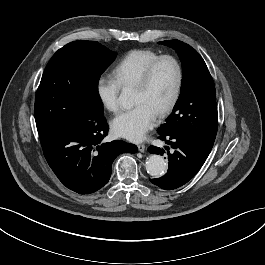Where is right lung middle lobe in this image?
Here are the masks:
<instances>
[{"label":"right lung middle lobe","mask_w":265,"mask_h":265,"mask_svg":"<svg viewBox=\"0 0 265 265\" xmlns=\"http://www.w3.org/2000/svg\"><path fill=\"white\" fill-rule=\"evenodd\" d=\"M115 58V52L96 41H74L54 54L35 99L34 114L40 138L86 116L103 115L98 82Z\"/></svg>","instance_id":"right-lung-middle-lobe-1"}]
</instances>
